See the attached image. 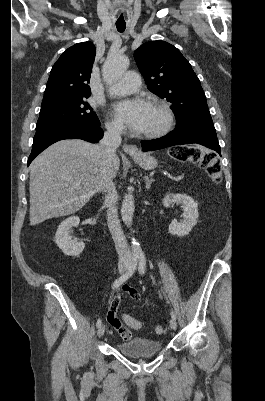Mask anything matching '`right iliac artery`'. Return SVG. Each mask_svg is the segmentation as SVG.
Masks as SVG:
<instances>
[{
  "label": "right iliac artery",
  "instance_id": "right-iliac-artery-1",
  "mask_svg": "<svg viewBox=\"0 0 265 401\" xmlns=\"http://www.w3.org/2000/svg\"><path fill=\"white\" fill-rule=\"evenodd\" d=\"M137 261H138V258L137 257H133V261H132L131 266L129 267V269L123 275H121L119 278H117L113 282L112 289L118 288L120 285H122L125 281H127L133 275V273L136 270ZM101 323H102V321L99 318L97 320L96 326L99 327L101 325Z\"/></svg>",
  "mask_w": 265,
  "mask_h": 401
}]
</instances>
